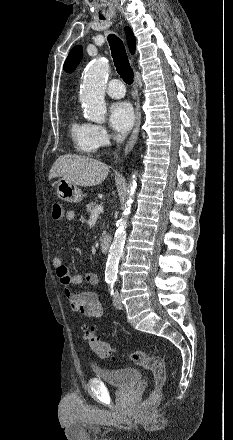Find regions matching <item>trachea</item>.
<instances>
[{"label":"trachea","instance_id":"trachea-1","mask_svg":"<svg viewBox=\"0 0 233 440\" xmlns=\"http://www.w3.org/2000/svg\"><path fill=\"white\" fill-rule=\"evenodd\" d=\"M108 42L111 48V53H112L113 61L115 63V67L120 77L127 84H132L134 74L131 69L123 42L114 34H110L108 36Z\"/></svg>","mask_w":233,"mask_h":440}]
</instances>
